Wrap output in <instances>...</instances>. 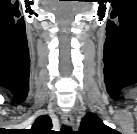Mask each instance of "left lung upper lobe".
I'll list each match as a JSON object with an SVG mask.
<instances>
[{"label":"left lung upper lobe","mask_w":137,"mask_h":134,"mask_svg":"<svg viewBox=\"0 0 137 134\" xmlns=\"http://www.w3.org/2000/svg\"><path fill=\"white\" fill-rule=\"evenodd\" d=\"M79 134H119L116 130L106 126L103 121L93 113H87L80 123Z\"/></svg>","instance_id":"obj_1"}]
</instances>
